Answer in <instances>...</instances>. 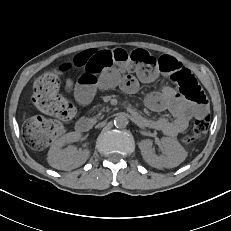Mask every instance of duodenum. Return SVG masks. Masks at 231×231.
Returning a JSON list of instances; mask_svg holds the SVG:
<instances>
[{"label": "duodenum", "instance_id": "duodenum-1", "mask_svg": "<svg viewBox=\"0 0 231 231\" xmlns=\"http://www.w3.org/2000/svg\"><path fill=\"white\" fill-rule=\"evenodd\" d=\"M90 128L91 121L88 118H82L76 124V130L80 133L88 132Z\"/></svg>", "mask_w": 231, "mask_h": 231}]
</instances>
